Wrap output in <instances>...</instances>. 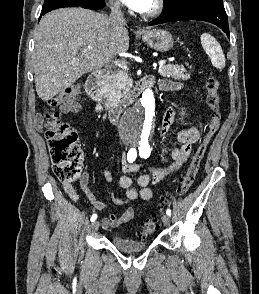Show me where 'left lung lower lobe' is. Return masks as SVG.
<instances>
[{"label":"left lung lower lobe","instance_id":"obj_1","mask_svg":"<svg viewBox=\"0 0 259 294\" xmlns=\"http://www.w3.org/2000/svg\"><path fill=\"white\" fill-rule=\"evenodd\" d=\"M180 20H199L213 23L221 28L227 37H229L227 14L223 4L208 1L197 3L169 14H162L157 19L151 21L149 25L152 26Z\"/></svg>","mask_w":259,"mask_h":294}]
</instances>
